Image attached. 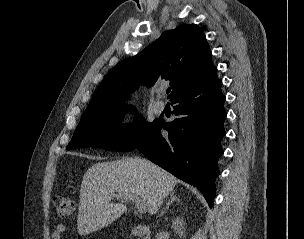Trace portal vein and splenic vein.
<instances>
[{
    "mask_svg": "<svg viewBox=\"0 0 304 239\" xmlns=\"http://www.w3.org/2000/svg\"><path fill=\"white\" fill-rule=\"evenodd\" d=\"M112 199H121L122 201H129L135 203L138 212L140 214L145 213L146 211V204L143 200L138 198L137 196L131 194V193H121V194H113L110 196Z\"/></svg>",
    "mask_w": 304,
    "mask_h": 239,
    "instance_id": "18ae733b",
    "label": "portal vein and splenic vein"
}]
</instances>
